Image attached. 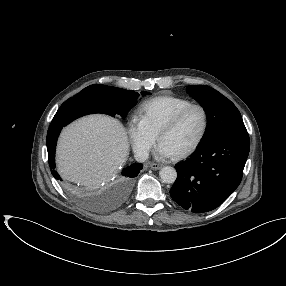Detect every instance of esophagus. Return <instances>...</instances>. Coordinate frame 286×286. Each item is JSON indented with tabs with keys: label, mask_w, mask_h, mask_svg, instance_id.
I'll use <instances>...</instances> for the list:
<instances>
[{
	"label": "esophagus",
	"mask_w": 286,
	"mask_h": 286,
	"mask_svg": "<svg viewBox=\"0 0 286 286\" xmlns=\"http://www.w3.org/2000/svg\"><path fill=\"white\" fill-rule=\"evenodd\" d=\"M162 164H159V163H151L150 164V167L153 169V170H159L160 168H162Z\"/></svg>",
	"instance_id": "esophagus-1"
}]
</instances>
